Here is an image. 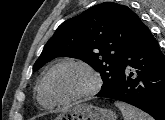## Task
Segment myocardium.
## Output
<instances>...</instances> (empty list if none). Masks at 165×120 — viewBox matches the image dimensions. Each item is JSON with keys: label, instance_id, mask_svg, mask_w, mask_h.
I'll list each match as a JSON object with an SVG mask.
<instances>
[{"label": "myocardium", "instance_id": "obj_1", "mask_svg": "<svg viewBox=\"0 0 165 120\" xmlns=\"http://www.w3.org/2000/svg\"><path fill=\"white\" fill-rule=\"evenodd\" d=\"M67 65H73V66H78L82 69H84L91 77L92 79V84L89 89L86 91L80 93L79 95H76L74 97L68 98V99H60L56 97L53 92L51 91L50 85H49V80L52 75V73L57 70L60 67L67 66ZM43 83H44V88L49 96V98L55 103V104H62V105H67V104H72L75 102H79L85 99H88L94 95H96L102 86V80L99 75V73L87 62L78 60V59H64L56 64H54L46 73L45 77L43 78Z\"/></svg>", "mask_w": 165, "mask_h": 120}]
</instances>
